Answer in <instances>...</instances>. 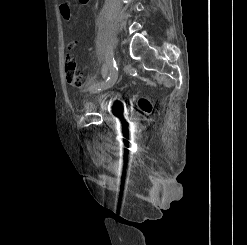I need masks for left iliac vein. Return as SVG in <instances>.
<instances>
[{
	"mask_svg": "<svg viewBox=\"0 0 247 245\" xmlns=\"http://www.w3.org/2000/svg\"><path fill=\"white\" fill-rule=\"evenodd\" d=\"M117 76H118V71L114 73L112 79L108 83H106V84H93L90 87L91 92L95 93V92H98L100 90L107 89V88L111 87L116 82Z\"/></svg>",
	"mask_w": 247,
	"mask_h": 245,
	"instance_id": "1",
	"label": "left iliac vein"
}]
</instances>
